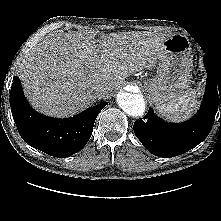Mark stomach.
<instances>
[{
  "mask_svg": "<svg viewBox=\"0 0 221 221\" xmlns=\"http://www.w3.org/2000/svg\"><path fill=\"white\" fill-rule=\"evenodd\" d=\"M163 55L157 75L145 83L156 107L179 102L190 85L191 43L188 37L174 34L163 42Z\"/></svg>",
  "mask_w": 221,
  "mask_h": 221,
  "instance_id": "0dacf381",
  "label": "stomach"
}]
</instances>
